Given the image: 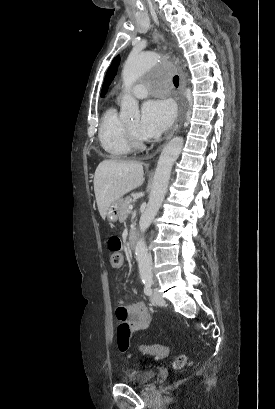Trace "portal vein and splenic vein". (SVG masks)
<instances>
[{
  "label": "portal vein and splenic vein",
  "mask_w": 275,
  "mask_h": 409,
  "mask_svg": "<svg viewBox=\"0 0 275 409\" xmlns=\"http://www.w3.org/2000/svg\"><path fill=\"white\" fill-rule=\"evenodd\" d=\"M129 209H133V205H129Z\"/></svg>",
  "instance_id": "1"
}]
</instances>
